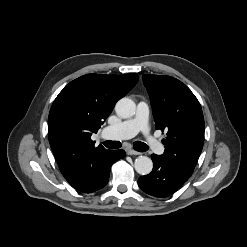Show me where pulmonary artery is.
Here are the masks:
<instances>
[{"instance_id":"obj_1","label":"pulmonary artery","mask_w":247,"mask_h":247,"mask_svg":"<svg viewBox=\"0 0 247 247\" xmlns=\"http://www.w3.org/2000/svg\"><path fill=\"white\" fill-rule=\"evenodd\" d=\"M148 117L149 106L145 101H140L133 118L108 126L103 133L110 138L127 139L135 136L138 132H143L148 146L155 153L162 154L164 152L163 145L149 134Z\"/></svg>"}]
</instances>
